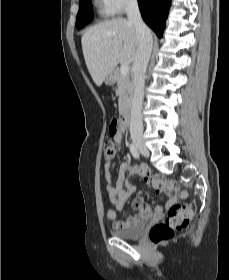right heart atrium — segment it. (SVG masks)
<instances>
[{
    "mask_svg": "<svg viewBox=\"0 0 229 280\" xmlns=\"http://www.w3.org/2000/svg\"><path fill=\"white\" fill-rule=\"evenodd\" d=\"M102 11L107 15H118L136 3V0H98Z\"/></svg>",
    "mask_w": 229,
    "mask_h": 280,
    "instance_id": "right-heart-atrium-1",
    "label": "right heart atrium"
}]
</instances>
